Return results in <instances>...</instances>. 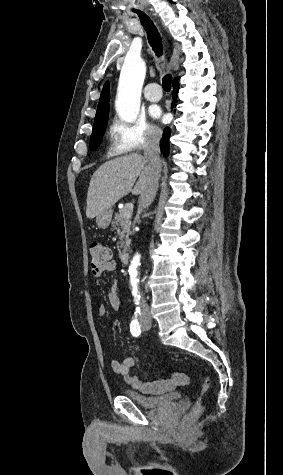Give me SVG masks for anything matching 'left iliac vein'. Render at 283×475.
I'll return each instance as SVG.
<instances>
[{"mask_svg": "<svg viewBox=\"0 0 283 475\" xmlns=\"http://www.w3.org/2000/svg\"><path fill=\"white\" fill-rule=\"evenodd\" d=\"M151 314L146 315V320L142 323V329L143 330H149L151 328Z\"/></svg>", "mask_w": 283, "mask_h": 475, "instance_id": "1", "label": "left iliac vein"}]
</instances>
